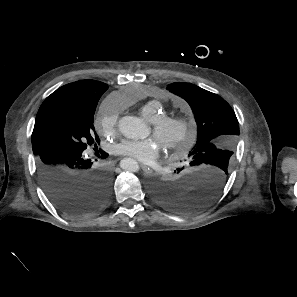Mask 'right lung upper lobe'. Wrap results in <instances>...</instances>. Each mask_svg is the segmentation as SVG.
Masks as SVG:
<instances>
[{
  "instance_id": "1",
  "label": "right lung upper lobe",
  "mask_w": 297,
  "mask_h": 297,
  "mask_svg": "<svg viewBox=\"0 0 297 297\" xmlns=\"http://www.w3.org/2000/svg\"><path fill=\"white\" fill-rule=\"evenodd\" d=\"M107 89L108 86L105 83L95 80L77 81L57 89L50 96H48L42 103L36 116L32 137L35 135L37 131L39 121L44 112L47 110L48 107H50L58 100H61L66 97H76L85 100H98Z\"/></svg>"
}]
</instances>
